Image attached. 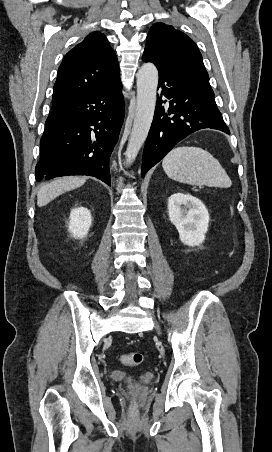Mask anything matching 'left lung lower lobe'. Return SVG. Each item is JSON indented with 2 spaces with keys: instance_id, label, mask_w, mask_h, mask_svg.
Wrapping results in <instances>:
<instances>
[{
  "instance_id": "obj_1",
  "label": "left lung lower lobe",
  "mask_w": 272,
  "mask_h": 452,
  "mask_svg": "<svg viewBox=\"0 0 272 452\" xmlns=\"http://www.w3.org/2000/svg\"><path fill=\"white\" fill-rule=\"evenodd\" d=\"M144 62L149 60L143 58ZM161 94L169 99V108L158 98L153 122L145 143L142 177L179 141L204 128L230 134L215 102L211 86L170 69H158Z\"/></svg>"
}]
</instances>
